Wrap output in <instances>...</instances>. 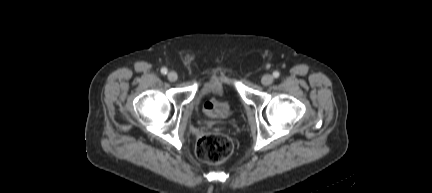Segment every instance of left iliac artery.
Wrapping results in <instances>:
<instances>
[{
    "instance_id": "44dca946",
    "label": "left iliac artery",
    "mask_w": 432,
    "mask_h": 193,
    "mask_svg": "<svg viewBox=\"0 0 432 193\" xmlns=\"http://www.w3.org/2000/svg\"><path fill=\"white\" fill-rule=\"evenodd\" d=\"M279 75H280V73H279L278 71H274V72H273V76H274V78H278Z\"/></svg>"
}]
</instances>
